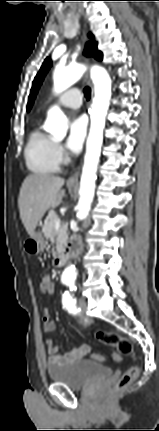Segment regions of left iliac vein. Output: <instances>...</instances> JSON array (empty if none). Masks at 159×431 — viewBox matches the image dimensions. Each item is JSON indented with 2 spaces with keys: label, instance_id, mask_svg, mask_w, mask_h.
I'll return each instance as SVG.
<instances>
[{
  "label": "left iliac vein",
  "instance_id": "1",
  "mask_svg": "<svg viewBox=\"0 0 159 431\" xmlns=\"http://www.w3.org/2000/svg\"><path fill=\"white\" fill-rule=\"evenodd\" d=\"M78 307L80 309L81 316L86 317V302L84 299L78 300Z\"/></svg>",
  "mask_w": 159,
  "mask_h": 431
}]
</instances>
